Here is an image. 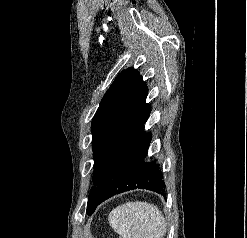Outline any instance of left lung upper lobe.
I'll return each mask as SVG.
<instances>
[{"label": "left lung upper lobe", "instance_id": "5c2ea615", "mask_svg": "<svg viewBox=\"0 0 247 238\" xmlns=\"http://www.w3.org/2000/svg\"><path fill=\"white\" fill-rule=\"evenodd\" d=\"M147 93L138 71L129 68L117 76L101 100L91 127L95 186L88 198V215L97 207L98 186L106 169L151 112Z\"/></svg>", "mask_w": 247, "mask_h": 238}]
</instances>
